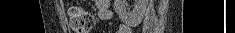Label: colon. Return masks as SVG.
Returning a JSON list of instances; mask_svg holds the SVG:
<instances>
[{
  "mask_svg": "<svg viewBox=\"0 0 235 33\" xmlns=\"http://www.w3.org/2000/svg\"><path fill=\"white\" fill-rule=\"evenodd\" d=\"M93 16L81 7L69 10V24L75 33H89L93 25Z\"/></svg>",
  "mask_w": 235,
  "mask_h": 33,
  "instance_id": "colon-1",
  "label": "colon"
}]
</instances>
